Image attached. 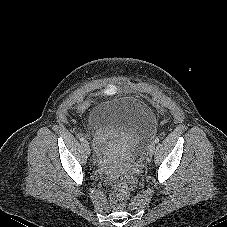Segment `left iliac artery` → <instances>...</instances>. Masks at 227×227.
I'll return each mask as SVG.
<instances>
[{
  "mask_svg": "<svg viewBox=\"0 0 227 227\" xmlns=\"http://www.w3.org/2000/svg\"><path fill=\"white\" fill-rule=\"evenodd\" d=\"M154 142H155V143H158V142H159V139H158V138H156V139L154 140Z\"/></svg>",
  "mask_w": 227,
  "mask_h": 227,
  "instance_id": "left-iliac-artery-1",
  "label": "left iliac artery"
}]
</instances>
